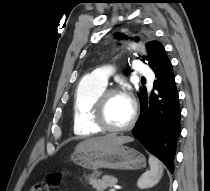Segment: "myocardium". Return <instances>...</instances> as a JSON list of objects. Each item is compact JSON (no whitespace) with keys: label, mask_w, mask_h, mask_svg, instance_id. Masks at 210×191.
I'll return each instance as SVG.
<instances>
[{"label":"myocardium","mask_w":210,"mask_h":191,"mask_svg":"<svg viewBox=\"0 0 210 191\" xmlns=\"http://www.w3.org/2000/svg\"><path fill=\"white\" fill-rule=\"evenodd\" d=\"M116 94H122L117 88L104 89L95 99L92 111H91V121L92 123L101 131L109 133H121L130 130L136 123L137 119V106L135 102L132 101V114L129 122L122 127H111L105 116V109L108 99Z\"/></svg>","instance_id":"1"}]
</instances>
